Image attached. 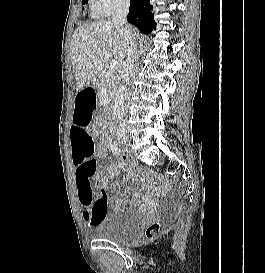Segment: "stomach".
<instances>
[{"instance_id":"0dacf381","label":"stomach","mask_w":265,"mask_h":273,"mask_svg":"<svg viewBox=\"0 0 265 273\" xmlns=\"http://www.w3.org/2000/svg\"><path fill=\"white\" fill-rule=\"evenodd\" d=\"M82 89H83V90H90V89H91V86H90V85H83V86H82Z\"/></svg>"}]
</instances>
